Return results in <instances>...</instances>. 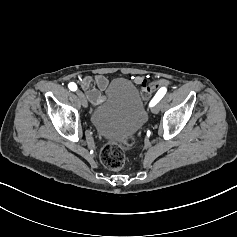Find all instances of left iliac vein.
Segmentation results:
<instances>
[{
	"label": "left iliac vein",
	"instance_id": "4c4485c4",
	"mask_svg": "<svg viewBox=\"0 0 237 237\" xmlns=\"http://www.w3.org/2000/svg\"><path fill=\"white\" fill-rule=\"evenodd\" d=\"M159 109H160V107H159V105L157 104V105H155V106L152 108V112H153L154 114H157V113L159 112Z\"/></svg>",
	"mask_w": 237,
	"mask_h": 237
}]
</instances>
